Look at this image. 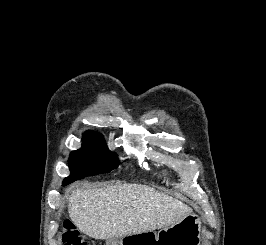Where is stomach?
<instances>
[{"label":"stomach","mask_w":266,"mask_h":245,"mask_svg":"<svg viewBox=\"0 0 266 245\" xmlns=\"http://www.w3.org/2000/svg\"><path fill=\"white\" fill-rule=\"evenodd\" d=\"M201 221L197 215H186L179 223L155 233H128L121 242H156L157 245H200ZM120 245V243H119Z\"/></svg>","instance_id":"stomach-1"}]
</instances>
